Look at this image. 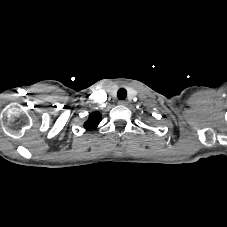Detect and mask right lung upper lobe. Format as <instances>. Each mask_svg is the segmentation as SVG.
<instances>
[{
	"label": "right lung upper lobe",
	"mask_w": 227,
	"mask_h": 227,
	"mask_svg": "<svg viewBox=\"0 0 227 227\" xmlns=\"http://www.w3.org/2000/svg\"><path fill=\"white\" fill-rule=\"evenodd\" d=\"M101 122V115L99 112L90 114L89 119L84 123V127L88 130L95 129Z\"/></svg>",
	"instance_id": "obj_1"
}]
</instances>
